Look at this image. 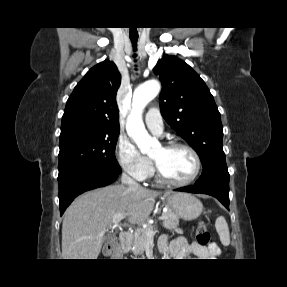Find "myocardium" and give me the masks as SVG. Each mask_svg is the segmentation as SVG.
I'll return each instance as SVG.
<instances>
[{
    "instance_id": "f54148a6",
    "label": "myocardium",
    "mask_w": 287,
    "mask_h": 287,
    "mask_svg": "<svg viewBox=\"0 0 287 287\" xmlns=\"http://www.w3.org/2000/svg\"><path fill=\"white\" fill-rule=\"evenodd\" d=\"M162 147L166 150L182 148V149L189 151L195 160V171L189 179L184 180V181H176V180H173L170 177H168L165 174V172L163 171V169H162L161 165L158 163V161L155 160L154 158H152L154 170L156 172L158 179L160 181L166 183V184H169L172 186H177V187L187 186V185H190L191 183H193L198 178V176L200 175V172L202 169L201 157H200L199 153L196 151V149L193 148L192 146H190L186 143H182V142H168V143L164 144Z\"/></svg>"
}]
</instances>
